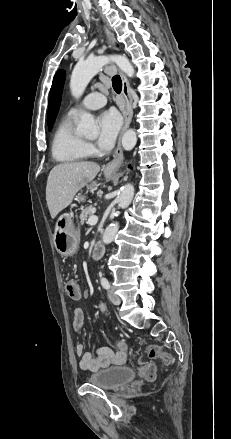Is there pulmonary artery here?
I'll list each match as a JSON object with an SVG mask.
<instances>
[{"label":"pulmonary artery","mask_w":231,"mask_h":439,"mask_svg":"<svg viewBox=\"0 0 231 439\" xmlns=\"http://www.w3.org/2000/svg\"><path fill=\"white\" fill-rule=\"evenodd\" d=\"M107 100L104 94L98 91L89 93L82 101V106L86 109L95 110L103 107ZM79 113V109L74 107L68 112L69 116L75 117Z\"/></svg>","instance_id":"obj_1"}]
</instances>
